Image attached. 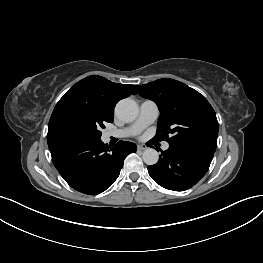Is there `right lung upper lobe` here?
<instances>
[{"instance_id":"1","label":"right lung upper lobe","mask_w":263,"mask_h":263,"mask_svg":"<svg viewBox=\"0 0 263 263\" xmlns=\"http://www.w3.org/2000/svg\"><path fill=\"white\" fill-rule=\"evenodd\" d=\"M130 94H135L133 85L113 83L98 75L80 80L64 94L54 108L48 127L49 148L61 144L55 138L54 124L64 108L72 104H80L97 109L113 118L116 103Z\"/></svg>"}]
</instances>
